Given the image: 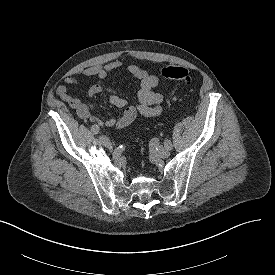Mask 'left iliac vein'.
<instances>
[{
    "mask_svg": "<svg viewBox=\"0 0 275 275\" xmlns=\"http://www.w3.org/2000/svg\"><path fill=\"white\" fill-rule=\"evenodd\" d=\"M156 153L161 158H167L170 155V150L164 146H157Z\"/></svg>",
    "mask_w": 275,
    "mask_h": 275,
    "instance_id": "obj_1",
    "label": "left iliac vein"
}]
</instances>
